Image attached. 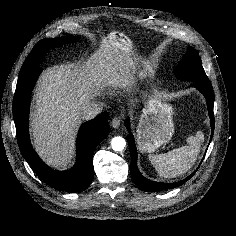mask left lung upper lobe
Segmentation results:
<instances>
[{"instance_id":"5c2ea615","label":"left lung upper lobe","mask_w":236,"mask_h":236,"mask_svg":"<svg viewBox=\"0 0 236 236\" xmlns=\"http://www.w3.org/2000/svg\"><path fill=\"white\" fill-rule=\"evenodd\" d=\"M175 75L178 79L191 82L208 80L202 67L200 56L190 46L188 47L186 56L178 64Z\"/></svg>"}]
</instances>
